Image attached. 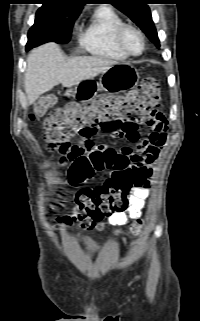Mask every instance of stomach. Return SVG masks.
<instances>
[{
  "instance_id": "1",
  "label": "stomach",
  "mask_w": 200,
  "mask_h": 321,
  "mask_svg": "<svg viewBox=\"0 0 200 321\" xmlns=\"http://www.w3.org/2000/svg\"><path fill=\"white\" fill-rule=\"evenodd\" d=\"M139 78V73L133 65L117 63L102 72L99 82L93 78L81 81L69 87L66 95L78 100H88L101 90L111 93L123 92L136 86Z\"/></svg>"
}]
</instances>
